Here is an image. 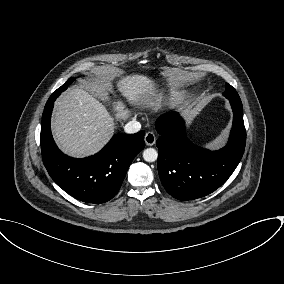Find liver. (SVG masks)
<instances>
[{"label":"liver","instance_id":"liver-1","mask_svg":"<svg viewBox=\"0 0 284 284\" xmlns=\"http://www.w3.org/2000/svg\"><path fill=\"white\" fill-rule=\"evenodd\" d=\"M111 84L107 79L99 91L110 90ZM116 86L130 103L154 107V110L161 107V97H155L154 82L147 76L121 77ZM113 106L117 118L129 117L130 111L121 101L114 102ZM114 130V118L105 105L83 89L69 90L55 101L53 135L60 149L70 156L81 158L95 154L112 137Z\"/></svg>","mask_w":284,"mask_h":284}]
</instances>
